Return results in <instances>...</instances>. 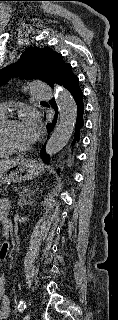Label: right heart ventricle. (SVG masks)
Returning <instances> with one entry per match:
<instances>
[{
    "instance_id": "e07e8e85",
    "label": "right heart ventricle",
    "mask_w": 118,
    "mask_h": 320,
    "mask_svg": "<svg viewBox=\"0 0 118 320\" xmlns=\"http://www.w3.org/2000/svg\"><path fill=\"white\" fill-rule=\"evenodd\" d=\"M4 118H5V114L0 111V123H1V121H2ZM9 154H10V152L7 151V150L0 144V157H5V156H7V155H9Z\"/></svg>"
}]
</instances>
